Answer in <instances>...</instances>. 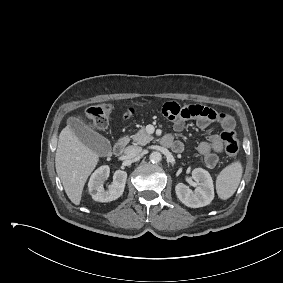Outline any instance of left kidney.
<instances>
[{"label": "left kidney", "mask_w": 283, "mask_h": 283, "mask_svg": "<svg viewBox=\"0 0 283 283\" xmlns=\"http://www.w3.org/2000/svg\"><path fill=\"white\" fill-rule=\"evenodd\" d=\"M192 178L198 183L193 192L183 183L175 187L177 198L187 207L199 208L211 203L214 199V185L209 172L202 168H195L192 171Z\"/></svg>", "instance_id": "5707ae66"}]
</instances>
